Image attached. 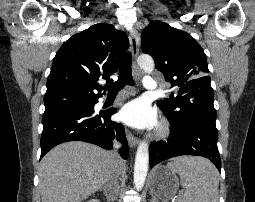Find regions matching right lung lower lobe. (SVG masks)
<instances>
[{
	"instance_id": "98d812e1",
	"label": "right lung lower lobe",
	"mask_w": 255,
	"mask_h": 202,
	"mask_svg": "<svg viewBox=\"0 0 255 202\" xmlns=\"http://www.w3.org/2000/svg\"><path fill=\"white\" fill-rule=\"evenodd\" d=\"M96 102H93L95 105ZM93 107L73 106L44 112L41 136V158L54 146L67 141H85L105 149H112V140L122 142L120 154L128 157L127 139L124 127L110 120L116 112L110 109L96 114Z\"/></svg>"
}]
</instances>
